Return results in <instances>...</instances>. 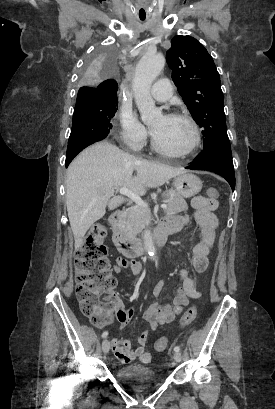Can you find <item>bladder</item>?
Listing matches in <instances>:
<instances>
[{
	"instance_id": "obj_1",
	"label": "bladder",
	"mask_w": 275,
	"mask_h": 409,
	"mask_svg": "<svg viewBox=\"0 0 275 409\" xmlns=\"http://www.w3.org/2000/svg\"><path fill=\"white\" fill-rule=\"evenodd\" d=\"M115 373L118 382H123L132 389L150 387L161 381V376L156 374L151 366L141 363L123 364L116 367Z\"/></svg>"
}]
</instances>
